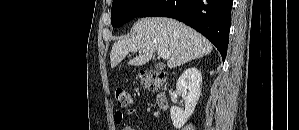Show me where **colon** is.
<instances>
[{
  "mask_svg": "<svg viewBox=\"0 0 299 130\" xmlns=\"http://www.w3.org/2000/svg\"><path fill=\"white\" fill-rule=\"evenodd\" d=\"M139 79L143 86L148 89L155 90L165 82L166 75L157 71H141ZM115 98L118 106L127 107L130 104V94L124 88H118L115 92Z\"/></svg>",
  "mask_w": 299,
  "mask_h": 130,
  "instance_id": "obj_1",
  "label": "colon"
}]
</instances>
